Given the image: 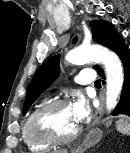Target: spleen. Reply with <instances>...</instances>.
<instances>
[{
    "label": "spleen",
    "mask_w": 130,
    "mask_h": 153,
    "mask_svg": "<svg viewBox=\"0 0 130 153\" xmlns=\"http://www.w3.org/2000/svg\"><path fill=\"white\" fill-rule=\"evenodd\" d=\"M117 130L126 135H130V123L127 120L120 119L117 121Z\"/></svg>",
    "instance_id": "spleen-1"
}]
</instances>
